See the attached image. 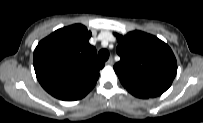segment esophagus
<instances>
[{"label": "esophagus", "instance_id": "34e87169", "mask_svg": "<svg viewBox=\"0 0 203 123\" xmlns=\"http://www.w3.org/2000/svg\"><path fill=\"white\" fill-rule=\"evenodd\" d=\"M105 64L108 65V66H112V65L114 64L113 58H109V59L106 61Z\"/></svg>", "mask_w": 203, "mask_h": 123}]
</instances>
